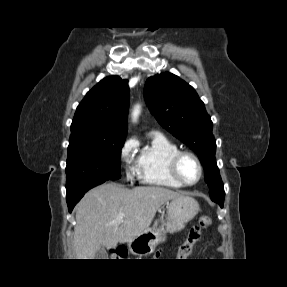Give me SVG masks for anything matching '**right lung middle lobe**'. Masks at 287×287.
Returning a JSON list of instances; mask_svg holds the SVG:
<instances>
[{
	"instance_id": "1",
	"label": "right lung middle lobe",
	"mask_w": 287,
	"mask_h": 287,
	"mask_svg": "<svg viewBox=\"0 0 287 287\" xmlns=\"http://www.w3.org/2000/svg\"><path fill=\"white\" fill-rule=\"evenodd\" d=\"M125 137H98L86 129L71 133L66 166V191L92 181L117 180Z\"/></svg>"
}]
</instances>
